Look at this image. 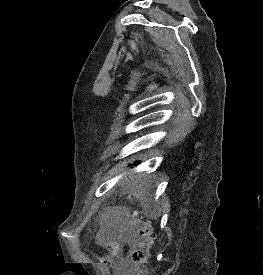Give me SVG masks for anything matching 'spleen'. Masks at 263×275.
Returning <instances> with one entry per match:
<instances>
[{
  "label": "spleen",
  "instance_id": "obj_1",
  "mask_svg": "<svg viewBox=\"0 0 263 275\" xmlns=\"http://www.w3.org/2000/svg\"><path fill=\"white\" fill-rule=\"evenodd\" d=\"M132 194L142 203H149L150 178L148 176H135L128 181Z\"/></svg>",
  "mask_w": 263,
  "mask_h": 275
}]
</instances>
